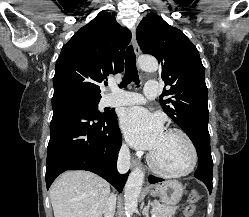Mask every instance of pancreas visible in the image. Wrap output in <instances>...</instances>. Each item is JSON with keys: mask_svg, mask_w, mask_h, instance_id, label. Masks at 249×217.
Segmentation results:
<instances>
[{"mask_svg": "<svg viewBox=\"0 0 249 217\" xmlns=\"http://www.w3.org/2000/svg\"><path fill=\"white\" fill-rule=\"evenodd\" d=\"M153 212L156 217H172L176 213L177 206H166L159 201L152 203Z\"/></svg>", "mask_w": 249, "mask_h": 217, "instance_id": "pancreas-1", "label": "pancreas"}]
</instances>
